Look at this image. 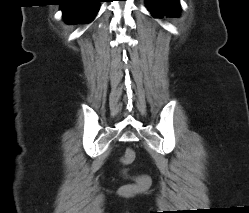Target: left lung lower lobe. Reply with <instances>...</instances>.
<instances>
[{
  "instance_id": "0a47b994",
  "label": "left lung lower lobe",
  "mask_w": 249,
  "mask_h": 213,
  "mask_svg": "<svg viewBox=\"0 0 249 213\" xmlns=\"http://www.w3.org/2000/svg\"><path fill=\"white\" fill-rule=\"evenodd\" d=\"M146 3L148 10L156 17L179 14L178 0H146Z\"/></svg>"
}]
</instances>
